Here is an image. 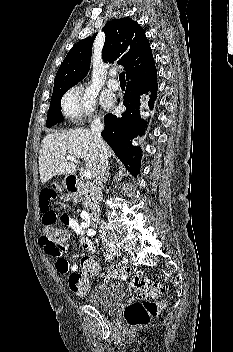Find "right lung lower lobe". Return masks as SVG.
<instances>
[{
  "label": "right lung lower lobe",
  "instance_id": "right-lung-lower-lobe-1",
  "mask_svg": "<svg viewBox=\"0 0 233 352\" xmlns=\"http://www.w3.org/2000/svg\"><path fill=\"white\" fill-rule=\"evenodd\" d=\"M157 88L156 68L142 76L129 79L123 98L126 111L121 117L112 114L105 116L102 137L123 162L126 170L134 176H137L140 171L141 150L134 147L131 141L145 129V122L140 118L139 99L142 94L147 93L148 90L151 91L149 107L152 109L157 97ZM133 155H135L134 158Z\"/></svg>",
  "mask_w": 233,
  "mask_h": 352
}]
</instances>
